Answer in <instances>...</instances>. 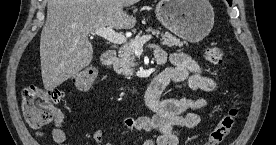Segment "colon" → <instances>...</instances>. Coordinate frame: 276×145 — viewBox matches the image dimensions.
<instances>
[{"mask_svg": "<svg viewBox=\"0 0 276 145\" xmlns=\"http://www.w3.org/2000/svg\"><path fill=\"white\" fill-rule=\"evenodd\" d=\"M205 60L211 65H219L224 58V51L220 47L207 48ZM98 76L96 68L86 67L71 77L72 85L78 90H87ZM62 97V91L57 88H43L28 85L22 91L21 111L26 123L33 128L47 125L54 116L55 104ZM239 115V104L231 105L210 132L205 145H219L230 134Z\"/></svg>", "mask_w": 276, "mask_h": 145, "instance_id": "1", "label": "colon"}]
</instances>
